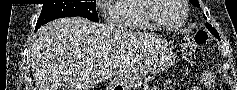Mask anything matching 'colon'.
Returning <instances> with one entry per match:
<instances>
[{
  "label": "colon",
  "mask_w": 237,
  "mask_h": 90,
  "mask_svg": "<svg viewBox=\"0 0 237 90\" xmlns=\"http://www.w3.org/2000/svg\"><path fill=\"white\" fill-rule=\"evenodd\" d=\"M208 40V35L204 31H198L195 34L184 38L181 42V47L184 53L190 54L197 47L205 45Z\"/></svg>",
  "instance_id": "5ec220e1"
}]
</instances>
